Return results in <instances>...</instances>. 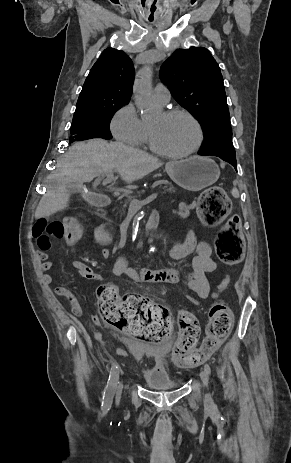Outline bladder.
Instances as JSON below:
<instances>
[{"label":"bladder","mask_w":291,"mask_h":463,"mask_svg":"<svg viewBox=\"0 0 291 463\" xmlns=\"http://www.w3.org/2000/svg\"><path fill=\"white\" fill-rule=\"evenodd\" d=\"M124 346L132 358L136 360L150 359L152 367L142 374V379L148 388H177L182 385L181 379H173L170 376L166 368V357L164 355L149 351L147 344L131 338L124 340Z\"/></svg>","instance_id":"1"}]
</instances>
